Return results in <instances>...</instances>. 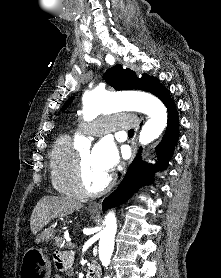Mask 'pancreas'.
Returning a JSON list of instances; mask_svg holds the SVG:
<instances>
[{"mask_svg": "<svg viewBox=\"0 0 221 278\" xmlns=\"http://www.w3.org/2000/svg\"><path fill=\"white\" fill-rule=\"evenodd\" d=\"M55 246L59 247V248H62V247L72 248L73 244L66 242L64 237H57L55 239Z\"/></svg>", "mask_w": 221, "mask_h": 278, "instance_id": "pancreas-1", "label": "pancreas"}]
</instances>
